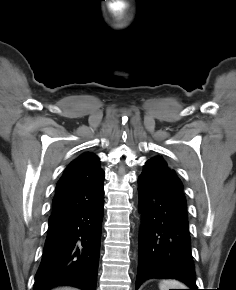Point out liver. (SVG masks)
Wrapping results in <instances>:
<instances>
[{"mask_svg": "<svg viewBox=\"0 0 236 290\" xmlns=\"http://www.w3.org/2000/svg\"><path fill=\"white\" fill-rule=\"evenodd\" d=\"M53 290H79V289L72 288V287H61V288H56V289H53Z\"/></svg>", "mask_w": 236, "mask_h": 290, "instance_id": "liver-1", "label": "liver"}]
</instances>
